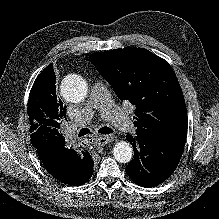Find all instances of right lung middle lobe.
<instances>
[{
	"instance_id": "dd1d6c3e",
	"label": "right lung middle lobe",
	"mask_w": 219,
	"mask_h": 219,
	"mask_svg": "<svg viewBox=\"0 0 219 219\" xmlns=\"http://www.w3.org/2000/svg\"><path fill=\"white\" fill-rule=\"evenodd\" d=\"M27 114L29 116V121H37L42 128L50 129V132H57L59 127L56 123V118L53 117L48 112H44L40 109V106L37 104L30 105L27 107Z\"/></svg>"
}]
</instances>
